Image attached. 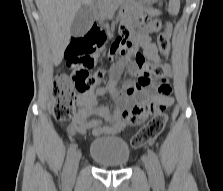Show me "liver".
<instances>
[{
  "label": "liver",
  "mask_w": 223,
  "mask_h": 191,
  "mask_svg": "<svg viewBox=\"0 0 223 191\" xmlns=\"http://www.w3.org/2000/svg\"><path fill=\"white\" fill-rule=\"evenodd\" d=\"M95 0H36L44 18L51 42L53 63L58 65L70 43L71 25L82 5H92Z\"/></svg>",
  "instance_id": "obj_1"
}]
</instances>
